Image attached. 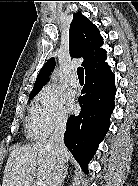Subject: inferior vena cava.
Returning <instances> with one entry per match:
<instances>
[{"instance_id": "obj_1", "label": "inferior vena cava", "mask_w": 138, "mask_h": 186, "mask_svg": "<svg viewBox=\"0 0 138 186\" xmlns=\"http://www.w3.org/2000/svg\"><path fill=\"white\" fill-rule=\"evenodd\" d=\"M66 130V121H60L57 126L55 127L54 132L50 136L48 140V144L52 147L55 155L56 160L54 162L48 186H59L63 170L65 167V153L66 147L64 145V133Z\"/></svg>"}]
</instances>
